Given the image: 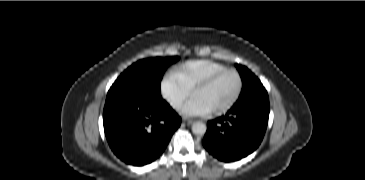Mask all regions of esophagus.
Segmentation results:
<instances>
[{"label": "esophagus", "mask_w": 365, "mask_h": 180, "mask_svg": "<svg viewBox=\"0 0 365 180\" xmlns=\"http://www.w3.org/2000/svg\"><path fill=\"white\" fill-rule=\"evenodd\" d=\"M183 123L187 124V125H191L193 123L192 120H187V119H184L183 120Z\"/></svg>", "instance_id": "1"}]
</instances>
